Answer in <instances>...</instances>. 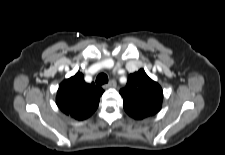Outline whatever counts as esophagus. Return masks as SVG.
Listing matches in <instances>:
<instances>
[{
  "label": "esophagus",
  "instance_id": "obj_1",
  "mask_svg": "<svg viewBox=\"0 0 225 155\" xmlns=\"http://www.w3.org/2000/svg\"><path fill=\"white\" fill-rule=\"evenodd\" d=\"M116 86L115 80H110L107 84L104 85L105 88H111Z\"/></svg>",
  "mask_w": 225,
  "mask_h": 155
}]
</instances>
